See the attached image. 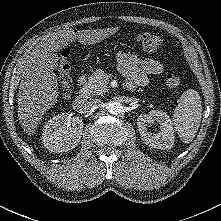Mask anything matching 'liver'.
<instances>
[{"instance_id":"liver-1","label":"liver","mask_w":221,"mask_h":221,"mask_svg":"<svg viewBox=\"0 0 221 221\" xmlns=\"http://www.w3.org/2000/svg\"><path fill=\"white\" fill-rule=\"evenodd\" d=\"M117 28L82 30L71 28L44 36L26 55L22 63L23 75L17 97L18 119L25 133L33 135L43 115L58 101L56 52L78 40L83 45L95 44L117 32Z\"/></svg>"}]
</instances>
